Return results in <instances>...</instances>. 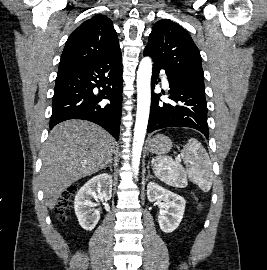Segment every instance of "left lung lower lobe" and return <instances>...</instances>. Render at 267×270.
I'll use <instances>...</instances> for the list:
<instances>
[{"label":"left lung lower lobe","mask_w":267,"mask_h":270,"mask_svg":"<svg viewBox=\"0 0 267 270\" xmlns=\"http://www.w3.org/2000/svg\"><path fill=\"white\" fill-rule=\"evenodd\" d=\"M144 55L147 54L144 52ZM160 70L163 68L154 63L151 79L152 90L157 81H160ZM167 77L170 87L169 98L172 103L160 102L161 94H152L147 133L166 127H190L200 131L208 138L205 92Z\"/></svg>","instance_id":"1"}]
</instances>
